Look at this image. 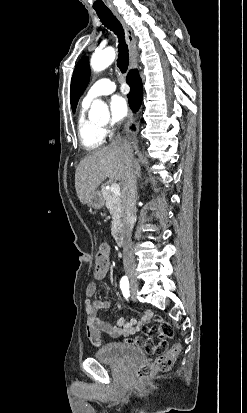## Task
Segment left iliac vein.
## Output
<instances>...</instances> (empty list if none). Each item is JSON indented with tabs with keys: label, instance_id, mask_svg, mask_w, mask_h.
<instances>
[{
	"label": "left iliac vein",
	"instance_id": "obj_1",
	"mask_svg": "<svg viewBox=\"0 0 247 413\" xmlns=\"http://www.w3.org/2000/svg\"><path fill=\"white\" fill-rule=\"evenodd\" d=\"M136 296H137V293H136V291H135V288H133L132 289V292H131V299H132V301H136Z\"/></svg>",
	"mask_w": 247,
	"mask_h": 413
}]
</instances>
